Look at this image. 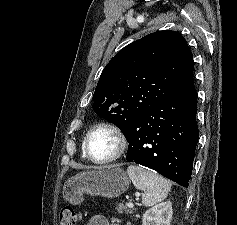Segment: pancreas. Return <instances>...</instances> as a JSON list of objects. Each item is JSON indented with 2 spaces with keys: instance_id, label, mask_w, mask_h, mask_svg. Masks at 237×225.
<instances>
[{
  "instance_id": "cf45deb5",
  "label": "pancreas",
  "mask_w": 237,
  "mask_h": 225,
  "mask_svg": "<svg viewBox=\"0 0 237 225\" xmlns=\"http://www.w3.org/2000/svg\"><path fill=\"white\" fill-rule=\"evenodd\" d=\"M116 210H117L119 213L125 212L126 214L133 212L132 209L127 208L125 205H123V204H121V203L116 205Z\"/></svg>"
}]
</instances>
